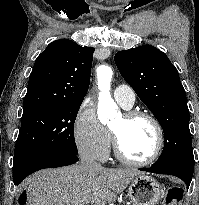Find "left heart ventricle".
<instances>
[{
  "mask_svg": "<svg viewBox=\"0 0 199 205\" xmlns=\"http://www.w3.org/2000/svg\"><path fill=\"white\" fill-rule=\"evenodd\" d=\"M111 128L118 136L123 153L129 158L141 160L152 154L156 134L146 118L127 120L122 114L114 120Z\"/></svg>",
  "mask_w": 199,
  "mask_h": 205,
  "instance_id": "left-heart-ventricle-1",
  "label": "left heart ventricle"
}]
</instances>
